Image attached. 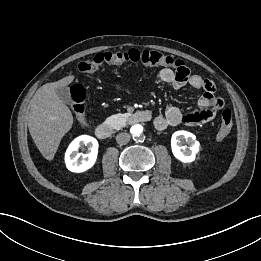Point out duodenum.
<instances>
[{
  "mask_svg": "<svg viewBox=\"0 0 261 261\" xmlns=\"http://www.w3.org/2000/svg\"><path fill=\"white\" fill-rule=\"evenodd\" d=\"M151 119V114L146 110H138L132 113L129 117L130 123H142ZM114 133V129L110 124H99L95 129V134L99 139H108Z\"/></svg>",
  "mask_w": 261,
  "mask_h": 261,
  "instance_id": "duodenum-1",
  "label": "duodenum"
}]
</instances>
